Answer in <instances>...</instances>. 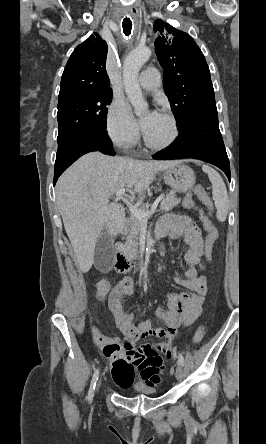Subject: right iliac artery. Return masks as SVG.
Listing matches in <instances>:
<instances>
[{
    "label": "right iliac artery",
    "mask_w": 266,
    "mask_h": 444,
    "mask_svg": "<svg viewBox=\"0 0 266 444\" xmlns=\"http://www.w3.org/2000/svg\"><path fill=\"white\" fill-rule=\"evenodd\" d=\"M98 377H99V369L95 370V372L93 374V377H92V380H91V384H90V388H89V391H88V396H87L88 401H91L92 398H93L94 390H95V386H96V382L98 380Z\"/></svg>",
    "instance_id": "obj_1"
}]
</instances>
